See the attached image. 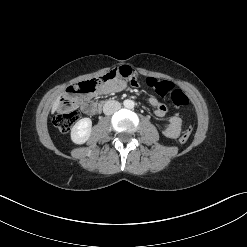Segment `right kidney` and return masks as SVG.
<instances>
[{
  "instance_id": "1",
  "label": "right kidney",
  "mask_w": 247,
  "mask_h": 247,
  "mask_svg": "<svg viewBox=\"0 0 247 247\" xmlns=\"http://www.w3.org/2000/svg\"><path fill=\"white\" fill-rule=\"evenodd\" d=\"M92 131V121L90 118H82L73 126L71 130V140L75 144L85 143Z\"/></svg>"
}]
</instances>
